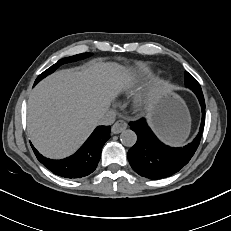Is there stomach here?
<instances>
[{
    "instance_id": "1",
    "label": "stomach",
    "mask_w": 231,
    "mask_h": 231,
    "mask_svg": "<svg viewBox=\"0 0 231 231\" xmlns=\"http://www.w3.org/2000/svg\"><path fill=\"white\" fill-rule=\"evenodd\" d=\"M133 72L153 91L148 113L153 130L168 144L183 143L190 132L191 119L182 98L168 86L152 83L154 79L141 63H136Z\"/></svg>"
}]
</instances>
